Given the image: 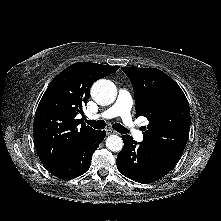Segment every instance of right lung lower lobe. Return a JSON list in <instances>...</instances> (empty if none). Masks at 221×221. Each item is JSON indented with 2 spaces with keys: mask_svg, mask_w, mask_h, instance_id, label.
I'll return each mask as SVG.
<instances>
[{
  "mask_svg": "<svg viewBox=\"0 0 221 221\" xmlns=\"http://www.w3.org/2000/svg\"><path fill=\"white\" fill-rule=\"evenodd\" d=\"M105 136V131L95 130L70 154L60 161L46 166V169L54 176L61 179H71L84 174L91 165L92 154L98 148Z\"/></svg>",
  "mask_w": 221,
  "mask_h": 221,
  "instance_id": "1",
  "label": "right lung lower lobe"
}]
</instances>
